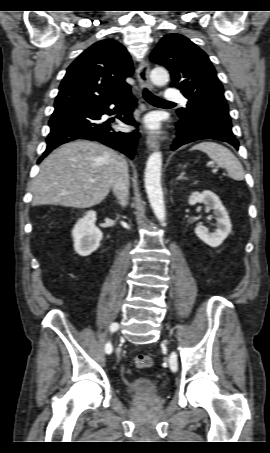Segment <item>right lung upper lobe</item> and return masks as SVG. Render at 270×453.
Masks as SVG:
<instances>
[{
	"instance_id": "right-lung-upper-lobe-1",
	"label": "right lung upper lobe",
	"mask_w": 270,
	"mask_h": 453,
	"mask_svg": "<svg viewBox=\"0 0 270 453\" xmlns=\"http://www.w3.org/2000/svg\"><path fill=\"white\" fill-rule=\"evenodd\" d=\"M133 70L122 44L112 39L98 41L68 67L55 109L110 101L130 90L125 79Z\"/></svg>"
}]
</instances>
